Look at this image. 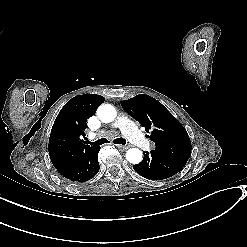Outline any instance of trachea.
<instances>
[{"label":"trachea","mask_w":247,"mask_h":247,"mask_svg":"<svg viewBox=\"0 0 247 247\" xmlns=\"http://www.w3.org/2000/svg\"><path fill=\"white\" fill-rule=\"evenodd\" d=\"M88 143L92 146H100L102 144H105V143H110L109 140H107L106 138H101L95 142H89ZM112 143L114 144H118V145H124L126 143V140L124 138H116L112 141Z\"/></svg>","instance_id":"1"}]
</instances>
